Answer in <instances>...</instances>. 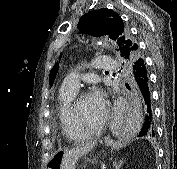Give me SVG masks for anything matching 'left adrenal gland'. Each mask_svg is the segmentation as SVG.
Here are the masks:
<instances>
[{
  "instance_id": "a2214340",
  "label": "left adrenal gland",
  "mask_w": 177,
  "mask_h": 169,
  "mask_svg": "<svg viewBox=\"0 0 177 169\" xmlns=\"http://www.w3.org/2000/svg\"><path fill=\"white\" fill-rule=\"evenodd\" d=\"M122 165H123V160H120L119 162L117 161L113 162L114 169H120Z\"/></svg>"
}]
</instances>
